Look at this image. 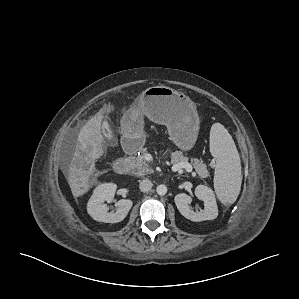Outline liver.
I'll return each mask as SVG.
<instances>
[{
	"label": "liver",
	"instance_id": "1",
	"mask_svg": "<svg viewBox=\"0 0 299 299\" xmlns=\"http://www.w3.org/2000/svg\"><path fill=\"white\" fill-rule=\"evenodd\" d=\"M110 110V106L102 108L85 123L78 134L77 145L67 170V181L74 198L89 190L95 162L105 154L101 122L104 113Z\"/></svg>",
	"mask_w": 299,
	"mask_h": 299
}]
</instances>
